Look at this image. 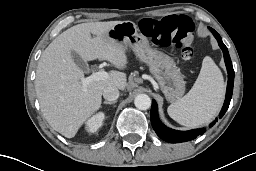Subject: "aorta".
<instances>
[{
	"label": "aorta",
	"mask_w": 256,
	"mask_h": 171,
	"mask_svg": "<svg viewBox=\"0 0 256 171\" xmlns=\"http://www.w3.org/2000/svg\"><path fill=\"white\" fill-rule=\"evenodd\" d=\"M134 104L140 110H147L151 106V99L146 94H139L135 97Z\"/></svg>",
	"instance_id": "obj_1"
}]
</instances>
